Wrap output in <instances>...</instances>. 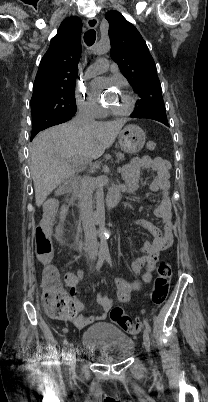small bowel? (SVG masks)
Masks as SVG:
<instances>
[{
	"label": "small bowel",
	"mask_w": 208,
	"mask_h": 402,
	"mask_svg": "<svg viewBox=\"0 0 208 402\" xmlns=\"http://www.w3.org/2000/svg\"><path fill=\"white\" fill-rule=\"evenodd\" d=\"M169 167V162L161 157L144 156L141 158H134L129 164L125 165L122 170L126 190L130 192L136 191L139 188L142 169H151L155 172V176L149 184V189L153 192H160L161 202L155 209L154 214L161 220L162 227L158 228L144 219L134 221L135 225L144 228L153 234L155 239L152 242L147 241L145 243L143 249L144 256L137 259L133 264V270L136 273H141L140 282L130 284L120 279L113 281L117 299L121 303L127 302L130 299L131 292L138 289L141 283L146 284L151 281L152 271L155 268V263L159 253L170 247L173 243L172 209L169 195ZM82 274V271H78L77 274H72L70 270L64 271L65 280H71L72 294L76 293V286L79 279L82 277ZM74 302L77 311L83 309L81 302L76 299ZM97 302L103 309V313L99 316H80L76 319V322H74V317L72 315H56L54 321L56 324H64L66 330H85L88 327V323L92 322L94 319L97 323H100L113 306L112 300L106 296L98 295Z\"/></svg>",
	"instance_id": "c3829d8e"
}]
</instances>
